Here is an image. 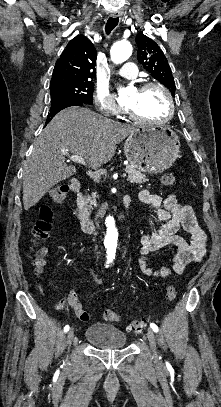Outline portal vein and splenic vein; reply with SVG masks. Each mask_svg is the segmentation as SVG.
Masks as SVG:
<instances>
[{"label": "portal vein and splenic vein", "mask_w": 221, "mask_h": 407, "mask_svg": "<svg viewBox=\"0 0 221 407\" xmlns=\"http://www.w3.org/2000/svg\"><path fill=\"white\" fill-rule=\"evenodd\" d=\"M65 155L68 156L69 159H70L71 161H73V162H77V163L82 164V165H84V166L87 165L86 162H85V160H84V158L81 157V156H78V155H69V154H65ZM126 176H127L126 173H123V174H122V177H123V178H125Z\"/></svg>", "instance_id": "18ae733b"}]
</instances>
